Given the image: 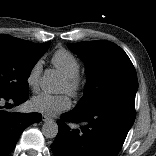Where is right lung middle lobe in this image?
<instances>
[{
    "mask_svg": "<svg viewBox=\"0 0 156 156\" xmlns=\"http://www.w3.org/2000/svg\"><path fill=\"white\" fill-rule=\"evenodd\" d=\"M50 42H23L9 35H0V92L23 96L29 94L27 79Z\"/></svg>",
    "mask_w": 156,
    "mask_h": 156,
    "instance_id": "dd1d6c3e",
    "label": "right lung middle lobe"
}]
</instances>
